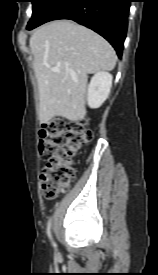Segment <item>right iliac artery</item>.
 I'll return each mask as SVG.
<instances>
[{"label": "right iliac artery", "instance_id": "1", "mask_svg": "<svg viewBox=\"0 0 158 275\" xmlns=\"http://www.w3.org/2000/svg\"><path fill=\"white\" fill-rule=\"evenodd\" d=\"M50 228H51V223H50V220H49L48 225H47V234H48L49 238L52 240ZM52 244L55 246V243L53 241H52Z\"/></svg>", "mask_w": 158, "mask_h": 275}]
</instances>
